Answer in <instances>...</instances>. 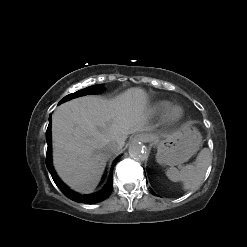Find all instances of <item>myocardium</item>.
Masks as SVG:
<instances>
[{
    "label": "myocardium",
    "instance_id": "myocardium-1",
    "mask_svg": "<svg viewBox=\"0 0 247 247\" xmlns=\"http://www.w3.org/2000/svg\"><path fill=\"white\" fill-rule=\"evenodd\" d=\"M183 116V110L179 106H172L168 109L166 118L168 121L176 122L180 120Z\"/></svg>",
    "mask_w": 247,
    "mask_h": 247
}]
</instances>
